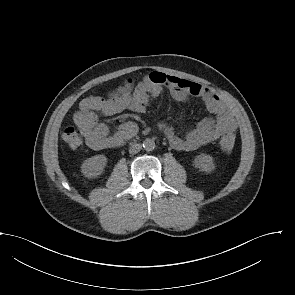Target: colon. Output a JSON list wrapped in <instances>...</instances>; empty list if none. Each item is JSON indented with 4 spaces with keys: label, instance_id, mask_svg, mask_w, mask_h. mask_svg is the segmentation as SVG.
<instances>
[{
    "label": "colon",
    "instance_id": "obj_1",
    "mask_svg": "<svg viewBox=\"0 0 295 295\" xmlns=\"http://www.w3.org/2000/svg\"><path fill=\"white\" fill-rule=\"evenodd\" d=\"M62 138L65 143L72 149L78 148L81 145V138L78 132L73 127H67L62 132ZM235 145V134L234 132H226L221 140V149L225 152H230Z\"/></svg>",
    "mask_w": 295,
    "mask_h": 295
}]
</instances>
